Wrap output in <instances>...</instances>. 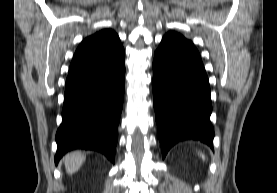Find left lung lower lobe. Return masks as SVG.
<instances>
[{
    "label": "left lung lower lobe",
    "instance_id": "obj_1",
    "mask_svg": "<svg viewBox=\"0 0 277 193\" xmlns=\"http://www.w3.org/2000/svg\"><path fill=\"white\" fill-rule=\"evenodd\" d=\"M153 103L162 157L179 141L200 140L213 148L210 86L192 42L165 35L153 61Z\"/></svg>",
    "mask_w": 277,
    "mask_h": 193
}]
</instances>
